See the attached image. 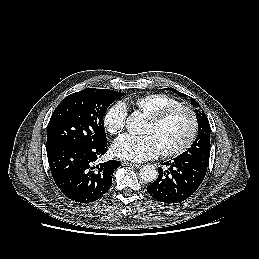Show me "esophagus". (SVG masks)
Here are the masks:
<instances>
[{
  "label": "esophagus",
  "mask_w": 259,
  "mask_h": 259,
  "mask_svg": "<svg viewBox=\"0 0 259 259\" xmlns=\"http://www.w3.org/2000/svg\"><path fill=\"white\" fill-rule=\"evenodd\" d=\"M124 165L131 166L134 168H140L142 167V164H136V163H130V162H123Z\"/></svg>",
  "instance_id": "esophagus-1"
}]
</instances>
